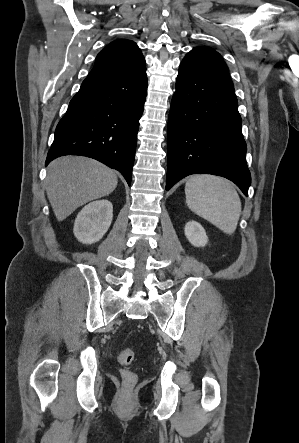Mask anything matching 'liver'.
Here are the masks:
<instances>
[{
    "label": "liver",
    "instance_id": "6515ba94",
    "mask_svg": "<svg viewBox=\"0 0 299 443\" xmlns=\"http://www.w3.org/2000/svg\"><path fill=\"white\" fill-rule=\"evenodd\" d=\"M116 173L106 165L83 156H63L47 169L46 193L58 221L80 206L112 193Z\"/></svg>",
    "mask_w": 299,
    "mask_h": 443
}]
</instances>
